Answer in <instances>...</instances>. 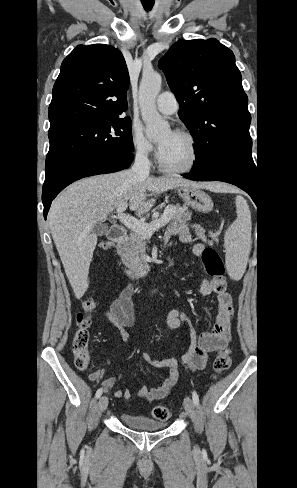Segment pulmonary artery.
<instances>
[{
    "instance_id": "e3ab8cb5",
    "label": "pulmonary artery",
    "mask_w": 297,
    "mask_h": 488,
    "mask_svg": "<svg viewBox=\"0 0 297 488\" xmlns=\"http://www.w3.org/2000/svg\"><path fill=\"white\" fill-rule=\"evenodd\" d=\"M156 107L162 114L172 115L178 110V102L172 92L165 91L157 97Z\"/></svg>"
}]
</instances>
